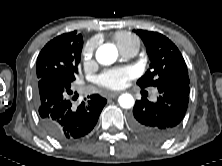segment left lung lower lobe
<instances>
[{"label":"left lung lower lobe","mask_w":222,"mask_h":166,"mask_svg":"<svg viewBox=\"0 0 222 166\" xmlns=\"http://www.w3.org/2000/svg\"><path fill=\"white\" fill-rule=\"evenodd\" d=\"M157 88V101L149 102L145 97L136 101L130 119L133 131L151 142H163L176 134L189 101V83L166 81Z\"/></svg>","instance_id":"left-lung-lower-lobe-1"}]
</instances>
